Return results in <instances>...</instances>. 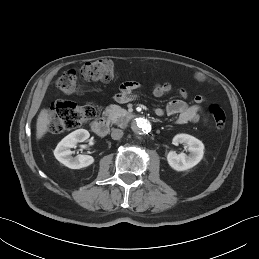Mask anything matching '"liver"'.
Instances as JSON below:
<instances>
[{"mask_svg":"<svg viewBox=\"0 0 259 259\" xmlns=\"http://www.w3.org/2000/svg\"><path fill=\"white\" fill-rule=\"evenodd\" d=\"M51 118L47 109H42L38 115L36 123V139H41L48 131Z\"/></svg>","mask_w":259,"mask_h":259,"instance_id":"6515ba94","label":"liver"}]
</instances>
